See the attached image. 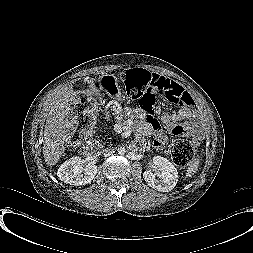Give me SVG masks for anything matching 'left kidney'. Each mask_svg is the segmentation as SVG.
I'll return each instance as SVG.
<instances>
[{
  "instance_id": "1",
  "label": "left kidney",
  "mask_w": 253,
  "mask_h": 253,
  "mask_svg": "<svg viewBox=\"0 0 253 253\" xmlns=\"http://www.w3.org/2000/svg\"><path fill=\"white\" fill-rule=\"evenodd\" d=\"M178 177L175 166L161 156L153 157L152 170L143 173V178L147 184L160 192L171 191L177 184Z\"/></svg>"
}]
</instances>
